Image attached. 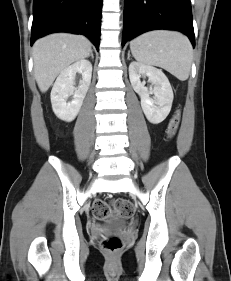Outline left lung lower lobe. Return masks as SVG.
<instances>
[{
    "mask_svg": "<svg viewBox=\"0 0 231 281\" xmlns=\"http://www.w3.org/2000/svg\"><path fill=\"white\" fill-rule=\"evenodd\" d=\"M190 0H125L122 46L133 36L157 29L178 30L195 47Z\"/></svg>",
    "mask_w": 231,
    "mask_h": 281,
    "instance_id": "left-lung-lower-lobe-1",
    "label": "left lung lower lobe"
}]
</instances>
